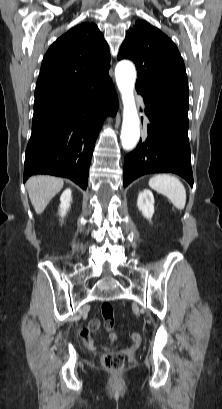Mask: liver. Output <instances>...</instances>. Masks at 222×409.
I'll use <instances>...</instances> for the list:
<instances>
[{
  "instance_id": "1",
  "label": "liver",
  "mask_w": 222,
  "mask_h": 409,
  "mask_svg": "<svg viewBox=\"0 0 222 409\" xmlns=\"http://www.w3.org/2000/svg\"><path fill=\"white\" fill-rule=\"evenodd\" d=\"M63 185V179L46 175L33 176L27 180L26 188L37 214L44 211L50 200L61 191Z\"/></svg>"
}]
</instances>
